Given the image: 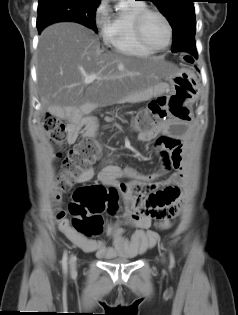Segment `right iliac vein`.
Returning <instances> with one entry per match:
<instances>
[{
	"mask_svg": "<svg viewBox=\"0 0 238 315\" xmlns=\"http://www.w3.org/2000/svg\"><path fill=\"white\" fill-rule=\"evenodd\" d=\"M70 269H71V273L75 274V272H76V258H75V256H71V258H70Z\"/></svg>",
	"mask_w": 238,
	"mask_h": 315,
	"instance_id": "1",
	"label": "right iliac vein"
}]
</instances>
